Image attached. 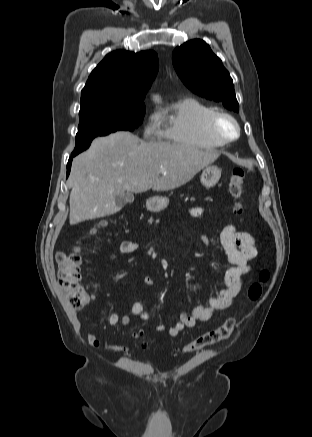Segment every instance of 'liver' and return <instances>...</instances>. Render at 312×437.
Returning <instances> with one entry per match:
<instances>
[{
	"label": "liver",
	"mask_w": 312,
	"mask_h": 437,
	"mask_svg": "<svg viewBox=\"0 0 312 437\" xmlns=\"http://www.w3.org/2000/svg\"><path fill=\"white\" fill-rule=\"evenodd\" d=\"M219 155L186 144L144 142L129 132L98 137L72 162L70 224L111 214L125 192L180 187Z\"/></svg>",
	"instance_id": "1"
}]
</instances>
